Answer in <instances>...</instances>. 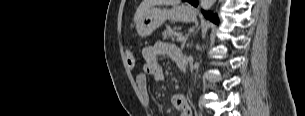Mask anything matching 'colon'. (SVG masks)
Segmentation results:
<instances>
[{"mask_svg": "<svg viewBox=\"0 0 305 116\" xmlns=\"http://www.w3.org/2000/svg\"><path fill=\"white\" fill-rule=\"evenodd\" d=\"M126 60L127 64L130 68L134 67L135 61H134V56L130 50L126 51Z\"/></svg>", "mask_w": 305, "mask_h": 116, "instance_id": "colon-1", "label": "colon"}]
</instances>
